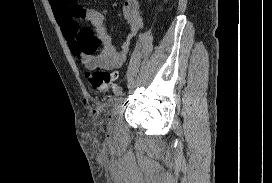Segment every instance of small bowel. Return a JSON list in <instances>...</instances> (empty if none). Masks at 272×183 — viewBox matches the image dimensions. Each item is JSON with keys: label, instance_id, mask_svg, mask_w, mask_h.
Masks as SVG:
<instances>
[{"label": "small bowel", "instance_id": "obj_1", "mask_svg": "<svg viewBox=\"0 0 272 183\" xmlns=\"http://www.w3.org/2000/svg\"><path fill=\"white\" fill-rule=\"evenodd\" d=\"M50 5L70 51L83 65L95 63L107 70L123 67L131 41L143 29L139 0H124L122 16L129 33L118 50L112 43L104 16L95 9L84 8L77 0H50ZM82 21L89 26L82 25Z\"/></svg>", "mask_w": 272, "mask_h": 183}]
</instances>
